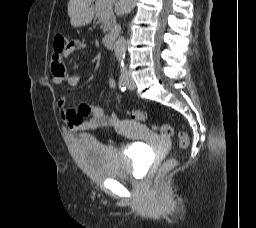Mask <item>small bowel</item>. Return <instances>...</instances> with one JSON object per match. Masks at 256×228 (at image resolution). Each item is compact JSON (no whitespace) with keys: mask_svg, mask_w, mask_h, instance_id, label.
Masks as SVG:
<instances>
[{"mask_svg":"<svg viewBox=\"0 0 256 228\" xmlns=\"http://www.w3.org/2000/svg\"><path fill=\"white\" fill-rule=\"evenodd\" d=\"M87 47L88 44L83 40H72L62 53L52 55L51 72L54 84L66 83L70 88H76L79 85V77L67 73L64 60ZM107 87L110 91H114L116 89L115 81L108 80ZM57 105L62 119L72 131L82 132L120 125V121L115 114L106 115L101 107L93 104L81 103L76 108H70L66 97H61Z\"/></svg>","mask_w":256,"mask_h":228,"instance_id":"1","label":"small bowel"}]
</instances>
